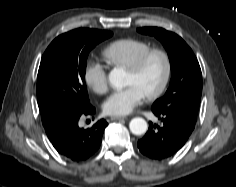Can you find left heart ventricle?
<instances>
[{"instance_id": "1", "label": "left heart ventricle", "mask_w": 236, "mask_h": 187, "mask_svg": "<svg viewBox=\"0 0 236 187\" xmlns=\"http://www.w3.org/2000/svg\"><path fill=\"white\" fill-rule=\"evenodd\" d=\"M164 75V62L161 57H151L142 71L135 75L131 72H127L126 85L137 86L145 95L155 90L161 83Z\"/></svg>"}]
</instances>
